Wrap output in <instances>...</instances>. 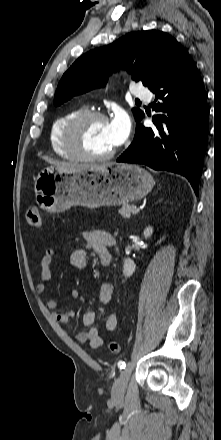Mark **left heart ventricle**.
<instances>
[{
    "instance_id": "1",
    "label": "left heart ventricle",
    "mask_w": 221,
    "mask_h": 440,
    "mask_svg": "<svg viewBox=\"0 0 221 440\" xmlns=\"http://www.w3.org/2000/svg\"><path fill=\"white\" fill-rule=\"evenodd\" d=\"M81 145L89 154L102 155L114 148L109 122L99 119L90 120L82 128Z\"/></svg>"
}]
</instances>
